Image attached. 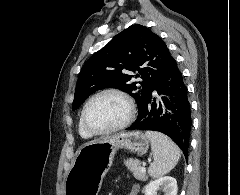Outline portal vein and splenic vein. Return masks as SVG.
Segmentation results:
<instances>
[{
	"label": "portal vein and splenic vein",
	"instance_id": "18ae733b",
	"mask_svg": "<svg viewBox=\"0 0 240 195\" xmlns=\"http://www.w3.org/2000/svg\"><path fill=\"white\" fill-rule=\"evenodd\" d=\"M144 165V163H143ZM141 171H146L145 167H140Z\"/></svg>",
	"mask_w": 240,
	"mask_h": 195
}]
</instances>
